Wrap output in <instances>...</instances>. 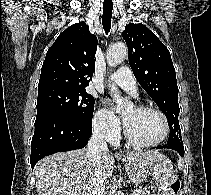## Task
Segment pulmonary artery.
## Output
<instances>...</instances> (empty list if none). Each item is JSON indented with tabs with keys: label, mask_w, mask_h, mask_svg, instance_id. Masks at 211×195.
Instances as JSON below:
<instances>
[{
	"label": "pulmonary artery",
	"mask_w": 211,
	"mask_h": 195,
	"mask_svg": "<svg viewBox=\"0 0 211 195\" xmlns=\"http://www.w3.org/2000/svg\"><path fill=\"white\" fill-rule=\"evenodd\" d=\"M110 81L117 84L124 90L135 94L137 92V84L132 75V72L127 67H121L110 76Z\"/></svg>",
	"instance_id": "1"
}]
</instances>
